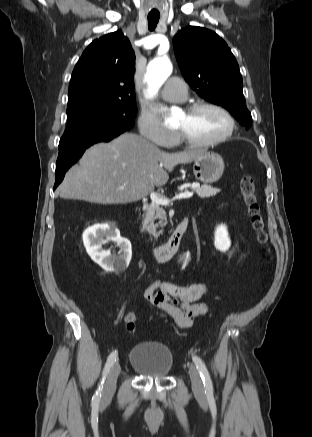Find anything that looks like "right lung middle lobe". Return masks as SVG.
<instances>
[{"label": "right lung middle lobe", "mask_w": 312, "mask_h": 437, "mask_svg": "<svg viewBox=\"0 0 312 437\" xmlns=\"http://www.w3.org/2000/svg\"><path fill=\"white\" fill-rule=\"evenodd\" d=\"M136 103L85 102L67 108V128L59 151L80 143L121 134L134 126Z\"/></svg>", "instance_id": "1"}]
</instances>
